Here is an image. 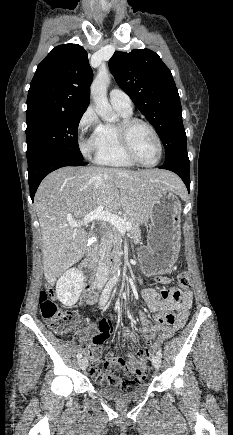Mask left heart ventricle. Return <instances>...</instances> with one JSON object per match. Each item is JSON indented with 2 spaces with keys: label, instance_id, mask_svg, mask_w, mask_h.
Returning a JSON list of instances; mask_svg holds the SVG:
<instances>
[{
  "label": "left heart ventricle",
  "instance_id": "obj_1",
  "mask_svg": "<svg viewBox=\"0 0 233 435\" xmlns=\"http://www.w3.org/2000/svg\"><path fill=\"white\" fill-rule=\"evenodd\" d=\"M131 143L138 159L145 164H152L158 158V148L150 130L138 124L131 131Z\"/></svg>",
  "mask_w": 233,
  "mask_h": 435
}]
</instances>
